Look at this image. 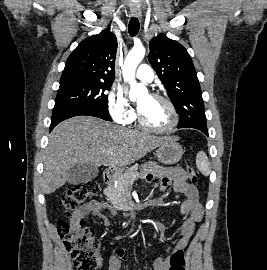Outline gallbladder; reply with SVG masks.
I'll list each match as a JSON object with an SVG mask.
<instances>
[{
	"mask_svg": "<svg viewBox=\"0 0 267 270\" xmlns=\"http://www.w3.org/2000/svg\"><path fill=\"white\" fill-rule=\"evenodd\" d=\"M98 173L97 167L87 163H78L70 168L67 181L72 185L85 183L97 177Z\"/></svg>",
	"mask_w": 267,
	"mask_h": 270,
	"instance_id": "bac80fb5",
	"label": "gallbladder"
}]
</instances>
